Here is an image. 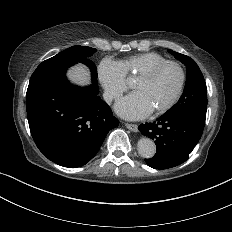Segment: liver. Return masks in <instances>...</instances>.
Listing matches in <instances>:
<instances>
[{
  "label": "liver",
  "mask_w": 232,
  "mask_h": 232,
  "mask_svg": "<svg viewBox=\"0 0 232 232\" xmlns=\"http://www.w3.org/2000/svg\"><path fill=\"white\" fill-rule=\"evenodd\" d=\"M72 75L80 80V81H85L87 80V73H86V70L83 68V67H80V68H77V69H74L73 72H72Z\"/></svg>",
  "instance_id": "liver-1"
}]
</instances>
